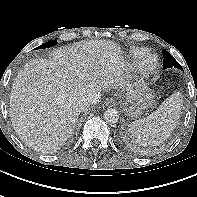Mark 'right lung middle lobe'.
Segmentation results:
<instances>
[{
  "instance_id": "obj_1",
  "label": "right lung middle lobe",
  "mask_w": 197,
  "mask_h": 197,
  "mask_svg": "<svg viewBox=\"0 0 197 197\" xmlns=\"http://www.w3.org/2000/svg\"><path fill=\"white\" fill-rule=\"evenodd\" d=\"M56 44H57L56 40H51V41H49L47 43L42 44L41 46L37 47L36 49L49 48V47H52V46H54Z\"/></svg>"
}]
</instances>
